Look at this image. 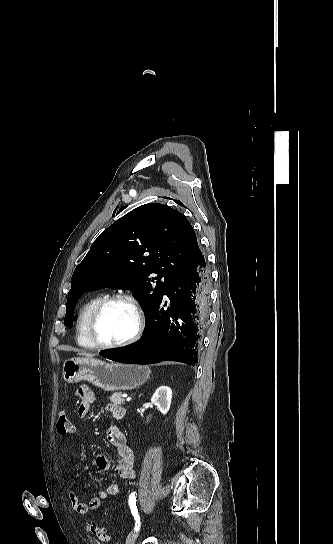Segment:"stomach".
Listing matches in <instances>:
<instances>
[{"label": "stomach", "instance_id": "0dacf381", "mask_svg": "<svg viewBox=\"0 0 333 544\" xmlns=\"http://www.w3.org/2000/svg\"><path fill=\"white\" fill-rule=\"evenodd\" d=\"M150 373L145 365L106 363L94 358H71L63 364L66 382L86 380L105 391L134 389L143 384Z\"/></svg>", "mask_w": 333, "mask_h": 544}]
</instances>
